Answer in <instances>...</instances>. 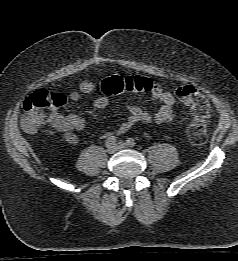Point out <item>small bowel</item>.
Wrapping results in <instances>:
<instances>
[{
    "instance_id": "obj_1",
    "label": "small bowel",
    "mask_w": 238,
    "mask_h": 261,
    "mask_svg": "<svg viewBox=\"0 0 238 261\" xmlns=\"http://www.w3.org/2000/svg\"><path fill=\"white\" fill-rule=\"evenodd\" d=\"M100 91V85L92 80H84L80 83L78 90L70 92L68 95L72 101L79 100L83 95H90ZM151 98L160 103L159 109L153 114L138 106L129 105L127 107L128 116L120 124L117 133L122 134L128 131L137 123L146 125L162 124L171 122L175 118L173 106L175 104V96L172 92L165 90L160 84L152 83L150 89ZM101 93V92H100ZM109 105V98L104 94L98 95L94 101L93 106L97 109H104ZM49 124L63 134L65 140L69 144H75L77 137L74 131H83L85 129V120L76 114L64 115L57 110H52L48 116Z\"/></svg>"
}]
</instances>
